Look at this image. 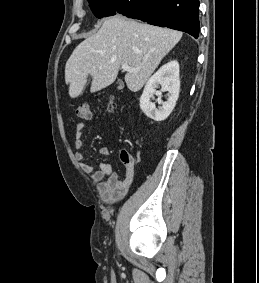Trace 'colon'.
Masks as SVG:
<instances>
[{"label": "colon", "instance_id": "colon-1", "mask_svg": "<svg viewBox=\"0 0 259 283\" xmlns=\"http://www.w3.org/2000/svg\"><path fill=\"white\" fill-rule=\"evenodd\" d=\"M119 108V103L114 99L110 98L107 103V111L113 112ZM77 116L83 120H90L92 118L90 106L88 103H81L77 108ZM121 159L126 164H132L135 162V157L127 150H123L121 153Z\"/></svg>", "mask_w": 259, "mask_h": 283}]
</instances>
